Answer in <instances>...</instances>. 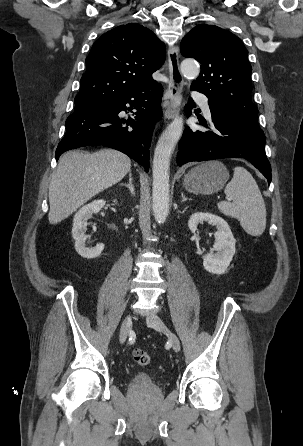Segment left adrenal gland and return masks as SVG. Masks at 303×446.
I'll use <instances>...</instances> for the list:
<instances>
[{
  "label": "left adrenal gland",
  "instance_id": "left-adrenal-gland-1",
  "mask_svg": "<svg viewBox=\"0 0 303 446\" xmlns=\"http://www.w3.org/2000/svg\"><path fill=\"white\" fill-rule=\"evenodd\" d=\"M181 196H182V200H181V202H184V201H186V200H191V198H187V197H185V195H184L183 192H181Z\"/></svg>",
  "mask_w": 303,
  "mask_h": 446
}]
</instances>
